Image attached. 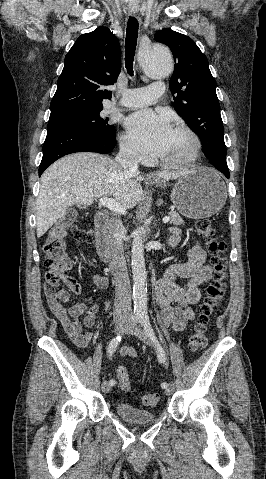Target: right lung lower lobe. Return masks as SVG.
Returning a JSON list of instances; mask_svg holds the SVG:
<instances>
[{"instance_id":"right-lung-lower-lobe-1","label":"right lung lower lobe","mask_w":266,"mask_h":479,"mask_svg":"<svg viewBox=\"0 0 266 479\" xmlns=\"http://www.w3.org/2000/svg\"><path fill=\"white\" fill-rule=\"evenodd\" d=\"M116 145L115 134H106L81 127L49 123L43 145L39 176L57 159L75 152L109 153Z\"/></svg>"}]
</instances>
